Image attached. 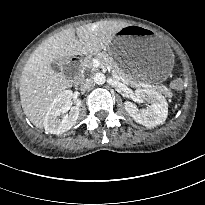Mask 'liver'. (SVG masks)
<instances>
[{
	"mask_svg": "<svg viewBox=\"0 0 205 205\" xmlns=\"http://www.w3.org/2000/svg\"><path fill=\"white\" fill-rule=\"evenodd\" d=\"M126 25L116 21H99L70 28L55 34L36 48L24 66L19 93L25 115L37 128L44 127L46 113L56 96L72 86L63 73L51 68V63L64 57L104 50L116 32Z\"/></svg>",
	"mask_w": 205,
	"mask_h": 205,
	"instance_id": "6515ba94",
	"label": "liver"
}]
</instances>
